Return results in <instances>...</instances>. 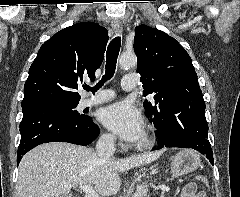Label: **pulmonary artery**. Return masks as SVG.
Segmentation results:
<instances>
[{
    "label": "pulmonary artery",
    "instance_id": "pulmonary-artery-1",
    "mask_svg": "<svg viewBox=\"0 0 240 197\" xmlns=\"http://www.w3.org/2000/svg\"><path fill=\"white\" fill-rule=\"evenodd\" d=\"M137 86V75L128 74L125 75L121 82V87L125 91L133 90ZM115 97V94L112 91L106 90L101 91L93 97H89L86 100L87 106H94L98 104H102L112 100Z\"/></svg>",
    "mask_w": 240,
    "mask_h": 197
}]
</instances>
